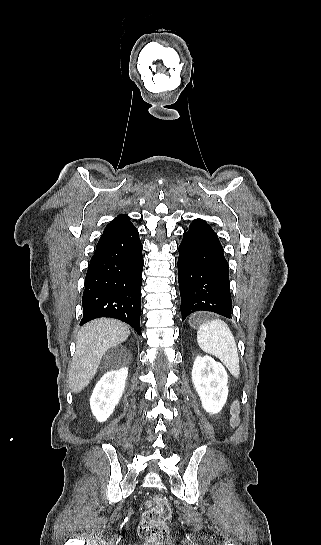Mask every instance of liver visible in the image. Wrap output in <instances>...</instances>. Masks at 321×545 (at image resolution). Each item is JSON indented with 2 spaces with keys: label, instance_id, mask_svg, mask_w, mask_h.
I'll return each mask as SVG.
<instances>
[{
  "label": "liver",
  "instance_id": "6515ba94",
  "mask_svg": "<svg viewBox=\"0 0 321 545\" xmlns=\"http://www.w3.org/2000/svg\"><path fill=\"white\" fill-rule=\"evenodd\" d=\"M129 335L127 325L114 319H95L82 327L77 335L76 351L69 371V385L73 393H80L89 385L106 351L124 343Z\"/></svg>",
  "mask_w": 321,
  "mask_h": 545
}]
</instances>
